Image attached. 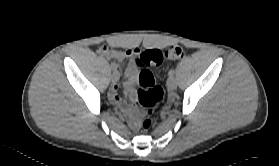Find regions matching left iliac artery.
Returning a JSON list of instances; mask_svg holds the SVG:
<instances>
[{"mask_svg":"<svg viewBox=\"0 0 279 166\" xmlns=\"http://www.w3.org/2000/svg\"><path fill=\"white\" fill-rule=\"evenodd\" d=\"M175 74V70L174 69H171L170 71H169V75L170 76H173Z\"/></svg>","mask_w":279,"mask_h":166,"instance_id":"obj_1","label":"left iliac artery"}]
</instances>
